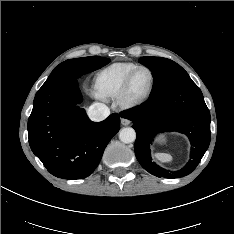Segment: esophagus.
<instances>
[{"mask_svg": "<svg viewBox=\"0 0 234 234\" xmlns=\"http://www.w3.org/2000/svg\"><path fill=\"white\" fill-rule=\"evenodd\" d=\"M121 123H122V125L127 126L131 123V121L128 118H126L124 115H122Z\"/></svg>", "mask_w": 234, "mask_h": 234, "instance_id": "34e87169", "label": "esophagus"}]
</instances>
